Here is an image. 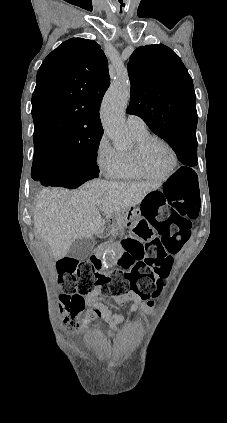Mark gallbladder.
<instances>
[{
	"label": "gallbladder",
	"mask_w": 227,
	"mask_h": 423,
	"mask_svg": "<svg viewBox=\"0 0 227 423\" xmlns=\"http://www.w3.org/2000/svg\"><path fill=\"white\" fill-rule=\"evenodd\" d=\"M95 245V237H83V239H76L73 241L68 253L70 257H75L79 261L87 259L92 253V249Z\"/></svg>",
	"instance_id": "bac80fb5"
}]
</instances>
